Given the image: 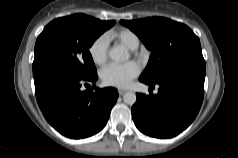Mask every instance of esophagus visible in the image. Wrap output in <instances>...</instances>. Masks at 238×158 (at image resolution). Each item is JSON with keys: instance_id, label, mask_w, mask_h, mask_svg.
Wrapping results in <instances>:
<instances>
[{"instance_id": "obj_1", "label": "esophagus", "mask_w": 238, "mask_h": 158, "mask_svg": "<svg viewBox=\"0 0 238 158\" xmlns=\"http://www.w3.org/2000/svg\"><path fill=\"white\" fill-rule=\"evenodd\" d=\"M118 93H119V95H123L124 93H126V90L119 89V90H118Z\"/></svg>"}]
</instances>
